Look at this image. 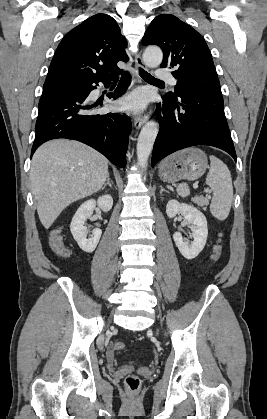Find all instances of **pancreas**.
Returning <instances> with one entry per match:
<instances>
[{
  "mask_svg": "<svg viewBox=\"0 0 267 419\" xmlns=\"http://www.w3.org/2000/svg\"><path fill=\"white\" fill-rule=\"evenodd\" d=\"M193 202L196 203L198 206L203 207L204 210L206 209V207H204V204L207 203L206 200H202L200 198H193Z\"/></svg>",
  "mask_w": 267,
  "mask_h": 419,
  "instance_id": "pancreas-1",
  "label": "pancreas"
}]
</instances>
